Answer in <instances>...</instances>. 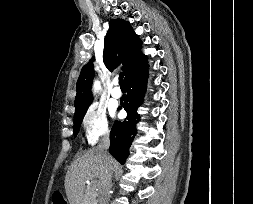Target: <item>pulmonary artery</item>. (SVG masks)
Masks as SVG:
<instances>
[{"mask_svg": "<svg viewBox=\"0 0 253 204\" xmlns=\"http://www.w3.org/2000/svg\"><path fill=\"white\" fill-rule=\"evenodd\" d=\"M115 86L114 88L112 89V92H111V95L114 97V98H120L121 95H122V92H121V89L118 87V82L115 81L114 82Z\"/></svg>", "mask_w": 253, "mask_h": 204, "instance_id": "obj_1", "label": "pulmonary artery"}]
</instances>
